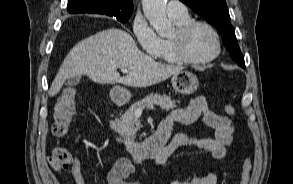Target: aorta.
Instances as JSON below:
<instances>
[{
    "label": "aorta",
    "mask_w": 293,
    "mask_h": 184,
    "mask_svg": "<svg viewBox=\"0 0 293 184\" xmlns=\"http://www.w3.org/2000/svg\"><path fill=\"white\" fill-rule=\"evenodd\" d=\"M143 12L150 25L163 36L172 30L166 15V0H142Z\"/></svg>",
    "instance_id": "1"
}]
</instances>
